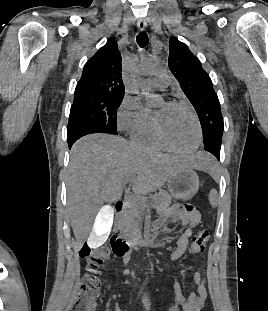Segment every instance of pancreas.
<instances>
[{
    "mask_svg": "<svg viewBox=\"0 0 268 311\" xmlns=\"http://www.w3.org/2000/svg\"><path fill=\"white\" fill-rule=\"evenodd\" d=\"M172 197L165 191L159 192L153 199L152 204L158 212L165 211L171 204ZM147 202L143 199H132L128 208L117 218L115 227L120 231L123 238H131L140 232L142 219Z\"/></svg>",
    "mask_w": 268,
    "mask_h": 311,
    "instance_id": "pancreas-1",
    "label": "pancreas"
}]
</instances>
